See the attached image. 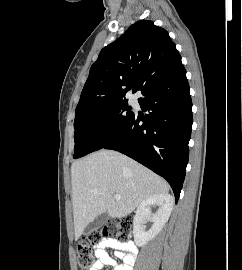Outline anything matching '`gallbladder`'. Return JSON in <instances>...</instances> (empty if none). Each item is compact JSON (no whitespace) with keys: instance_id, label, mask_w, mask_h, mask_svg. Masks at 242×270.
Instances as JSON below:
<instances>
[{"instance_id":"obj_1","label":"gallbladder","mask_w":242,"mask_h":270,"mask_svg":"<svg viewBox=\"0 0 242 270\" xmlns=\"http://www.w3.org/2000/svg\"><path fill=\"white\" fill-rule=\"evenodd\" d=\"M109 220V214L107 212H103L98 215L92 222H90L85 228V233L90 234L98 228L105 225Z\"/></svg>"}]
</instances>
